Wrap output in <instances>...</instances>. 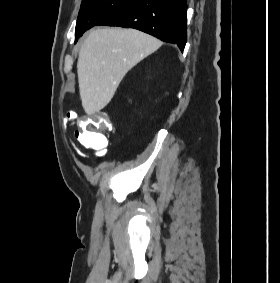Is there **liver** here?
<instances>
[{
    "label": "liver",
    "mask_w": 280,
    "mask_h": 283,
    "mask_svg": "<svg viewBox=\"0 0 280 283\" xmlns=\"http://www.w3.org/2000/svg\"><path fill=\"white\" fill-rule=\"evenodd\" d=\"M161 42L135 29L98 28L80 48L77 73L85 112L92 115L113 98L125 74Z\"/></svg>",
    "instance_id": "1"
}]
</instances>
